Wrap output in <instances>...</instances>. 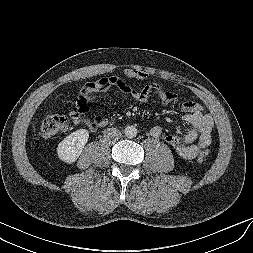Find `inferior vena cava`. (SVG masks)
<instances>
[{
	"mask_svg": "<svg viewBox=\"0 0 253 253\" xmlns=\"http://www.w3.org/2000/svg\"><path fill=\"white\" fill-rule=\"evenodd\" d=\"M104 138L108 140H118L122 134L117 128H107L104 130Z\"/></svg>",
	"mask_w": 253,
	"mask_h": 253,
	"instance_id": "602c4592",
	"label": "inferior vena cava"
}]
</instances>
